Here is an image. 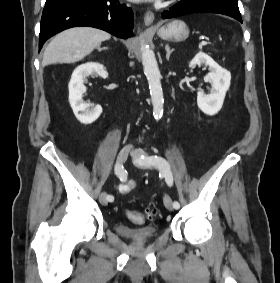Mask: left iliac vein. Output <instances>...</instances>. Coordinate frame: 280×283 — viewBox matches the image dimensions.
Instances as JSON below:
<instances>
[{"label": "left iliac vein", "instance_id": "obj_1", "mask_svg": "<svg viewBox=\"0 0 280 283\" xmlns=\"http://www.w3.org/2000/svg\"><path fill=\"white\" fill-rule=\"evenodd\" d=\"M131 155H132L134 163L136 165L141 166L143 168H147V169L151 168L150 164H145V163L141 162V156H146L147 157V154L142 149L132 150ZM164 205L170 211H172L174 209L172 200H171V198L168 195L164 196Z\"/></svg>", "mask_w": 280, "mask_h": 283}]
</instances>
